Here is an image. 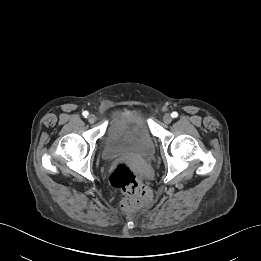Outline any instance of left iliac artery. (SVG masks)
<instances>
[{"instance_id":"44dca946","label":"left iliac artery","mask_w":261,"mask_h":261,"mask_svg":"<svg viewBox=\"0 0 261 261\" xmlns=\"http://www.w3.org/2000/svg\"><path fill=\"white\" fill-rule=\"evenodd\" d=\"M171 116H172V118H176L178 116V113L174 111V112H172Z\"/></svg>"}]
</instances>
